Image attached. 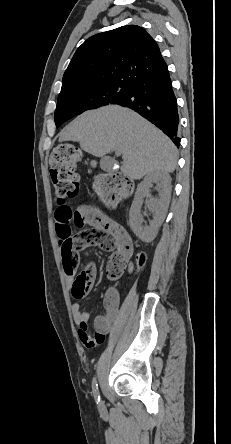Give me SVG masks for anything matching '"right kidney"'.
Returning <instances> with one entry per match:
<instances>
[{
    "instance_id": "right-kidney-1",
    "label": "right kidney",
    "mask_w": 231,
    "mask_h": 444,
    "mask_svg": "<svg viewBox=\"0 0 231 444\" xmlns=\"http://www.w3.org/2000/svg\"><path fill=\"white\" fill-rule=\"evenodd\" d=\"M152 183H156L159 188V198H152L147 203L148 209L154 214L149 225H142L143 216L141 207L143 198L150 196ZM171 178L166 172H153L148 174L138 185L135 198L129 213L130 228L134 234L144 242H151L157 235L159 227L162 225L171 198Z\"/></svg>"
}]
</instances>
